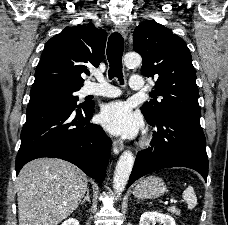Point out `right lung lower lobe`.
<instances>
[{"mask_svg":"<svg viewBox=\"0 0 228 225\" xmlns=\"http://www.w3.org/2000/svg\"><path fill=\"white\" fill-rule=\"evenodd\" d=\"M93 113L92 105L78 107L65 101L28 106L16 157V175L27 162L52 157L77 165L101 184L111 140L100 126L89 122Z\"/></svg>","mask_w":228,"mask_h":225,"instance_id":"1","label":"right lung lower lobe"}]
</instances>
